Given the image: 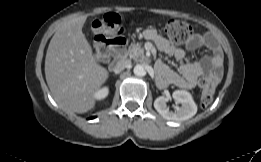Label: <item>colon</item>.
Segmentation results:
<instances>
[{"label":"colon","mask_w":261,"mask_h":162,"mask_svg":"<svg viewBox=\"0 0 261 162\" xmlns=\"http://www.w3.org/2000/svg\"><path fill=\"white\" fill-rule=\"evenodd\" d=\"M92 28L95 33L94 51L99 59L104 60L110 57V47L112 45L126 42L120 16L116 13H108L95 20ZM164 32L172 42L177 44L190 42L194 38L193 27L183 20H170L165 25ZM216 85L217 80L213 77L205 76L201 78L199 89L203 104L212 101Z\"/></svg>","instance_id":"5ec220e1"}]
</instances>
